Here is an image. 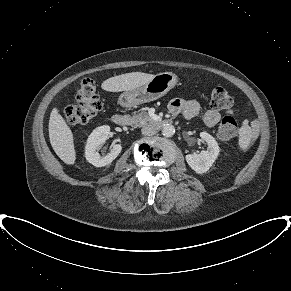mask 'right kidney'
Returning <instances> with one entry per match:
<instances>
[{
	"instance_id": "1",
	"label": "right kidney",
	"mask_w": 291,
	"mask_h": 291,
	"mask_svg": "<svg viewBox=\"0 0 291 291\" xmlns=\"http://www.w3.org/2000/svg\"><path fill=\"white\" fill-rule=\"evenodd\" d=\"M110 133V127L107 125L96 128L89 136L85 147L86 160L96 167L109 165L121 152L120 144H113L110 153L101 156L96 149L105 143Z\"/></svg>"
}]
</instances>
